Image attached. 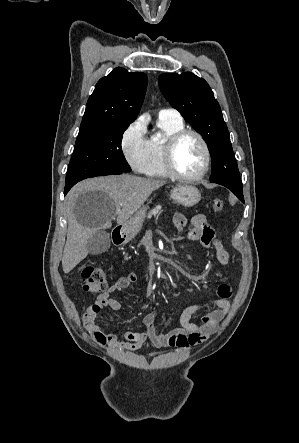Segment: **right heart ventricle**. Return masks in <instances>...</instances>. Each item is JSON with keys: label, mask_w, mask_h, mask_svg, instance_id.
<instances>
[{"label": "right heart ventricle", "mask_w": 299, "mask_h": 443, "mask_svg": "<svg viewBox=\"0 0 299 443\" xmlns=\"http://www.w3.org/2000/svg\"><path fill=\"white\" fill-rule=\"evenodd\" d=\"M162 136L152 137L147 141V160L143 173L149 177L163 178L167 173L163 162V149L167 139L185 127L183 120L159 118Z\"/></svg>", "instance_id": "e07e8e85"}]
</instances>
